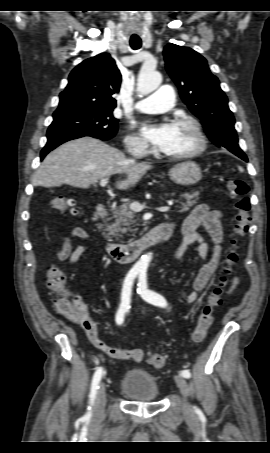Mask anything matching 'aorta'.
Here are the masks:
<instances>
[{
  "label": "aorta",
  "mask_w": 270,
  "mask_h": 453,
  "mask_svg": "<svg viewBox=\"0 0 270 453\" xmlns=\"http://www.w3.org/2000/svg\"><path fill=\"white\" fill-rule=\"evenodd\" d=\"M162 82V76L155 69L143 67L140 70L137 81V92L141 95H147L159 87ZM151 261V254H146L137 261L135 268L146 269Z\"/></svg>",
  "instance_id": "762f6f07"
}]
</instances>
